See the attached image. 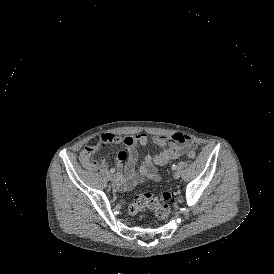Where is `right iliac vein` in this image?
<instances>
[{
    "instance_id": "1",
    "label": "right iliac vein",
    "mask_w": 274,
    "mask_h": 274,
    "mask_svg": "<svg viewBox=\"0 0 274 274\" xmlns=\"http://www.w3.org/2000/svg\"><path fill=\"white\" fill-rule=\"evenodd\" d=\"M109 178H110V181H112L113 184L115 185V184H116V183H115V178H116V176H115L114 174H111Z\"/></svg>"
}]
</instances>
